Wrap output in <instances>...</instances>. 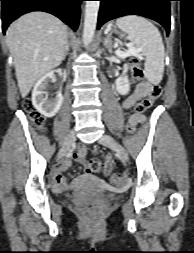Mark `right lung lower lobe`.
Instances as JSON below:
<instances>
[{"mask_svg":"<svg viewBox=\"0 0 194 253\" xmlns=\"http://www.w3.org/2000/svg\"><path fill=\"white\" fill-rule=\"evenodd\" d=\"M2 1V30L19 16L31 11L51 13L68 24L75 31L80 18V4L83 0H0Z\"/></svg>","mask_w":194,"mask_h":253,"instance_id":"1","label":"right lung lower lobe"}]
</instances>
